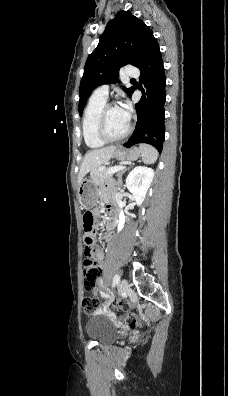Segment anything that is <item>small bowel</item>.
I'll return each mask as SVG.
<instances>
[{"mask_svg": "<svg viewBox=\"0 0 228 396\" xmlns=\"http://www.w3.org/2000/svg\"><path fill=\"white\" fill-rule=\"evenodd\" d=\"M106 205H107V211H108V219L112 220L114 218V215H115V209L113 207L112 201L109 198H106ZM97 212H98V210L94 211V213H97ZM92 252H93V256H94L96 262L101 266L102 265V261L104 259L103 251L101 249H99V248L93 247V251ZM97 284H98V286H101L103 284L102 278H98L97 279ZM94 292L97 293L98 289H95ZM110 303H111L110 300L106 301L104 303V305L102 306L101 311H106L108 309Z\"/></svg>", "mask_w": 228, "mask_h": 396, "instance_id": "obj_1", "label": "small bowel"}]
</instances>
